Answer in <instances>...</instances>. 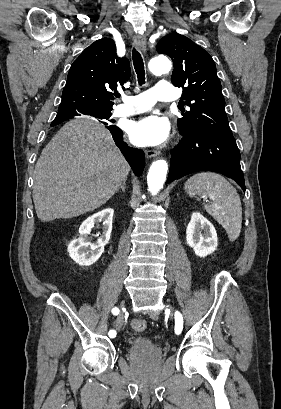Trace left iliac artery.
Returning a JSON list of instances; mask_svg holds the SVG:
<instances>
[{
	"label": "left iliac artery",
	"mask_w": 281,
	"mask_h": 409,
	"mask_svg": "<svg viewBox=\"0 0 281 409\" xmlns=\"http://www.w3.org/2000/svg\"><path fill=\"white\" fill-rule=\"evenodd\" d=\"M183 328V318L182 315L176 311L175 312V332L176 334H180Z\"/></svg>",
	"instance_id": "obj_1"
}]
</instances>
